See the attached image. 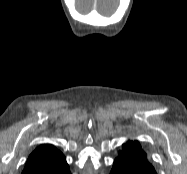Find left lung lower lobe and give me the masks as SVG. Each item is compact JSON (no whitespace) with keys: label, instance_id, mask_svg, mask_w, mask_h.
I'll return each instance as SVG.
<instances>
[{"label":"left lung lower lobe","instance_id":"0a47b994","mask_svg":"<svg viewBox=\"0 0 187 174\" xmlns=\"http://www.w3.org/2000/svg\"><path fill=\"white\" fill-rule=\"evenodd\" d=\"M110 174H138V173H136L133 170L125 168L119 162H115ZM142 174H157V173L155 170L151 171V170L145 169L142 171Z\"/></svg>","mask_w":187,"mask_h":174}]
</instances>
